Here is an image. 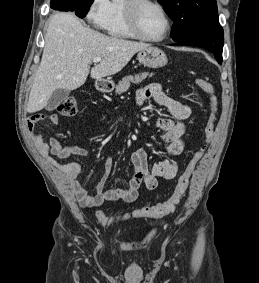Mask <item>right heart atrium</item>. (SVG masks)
Wrapping results in <instances>:
<instances>
[{"label":"right heart atrium","mask_w":259,"mask_h":283,"mask_svg":"<svg viewBox=\"0 0 259 283\" xmlns=\"http://www.w3.org/2000/svg\"><path fill=\"white\" fill-rule=\"evenodd\" d=\"M110 8L109 0H91L86 18L95 28H102Z\"/></svg>","instance_id":"right-heart-atrium-1"}]
</instances>
